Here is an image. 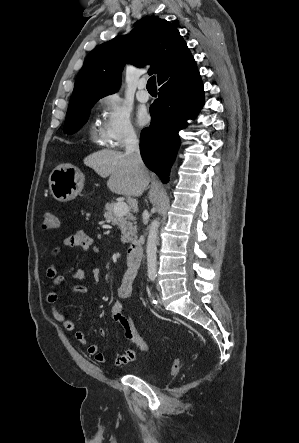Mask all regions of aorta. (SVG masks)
I'll return each instance as SVG.
<instances>
[{
	"label": "aorta",
	"instance_id": "aorta-1",
	"mask_svg": "<svg viewBox=\"0 0 299 443\" xmlns=\"http://www.w3.org/2000/svg\"><path fill=\"white\" fill-rule=\"evenodd\" d=\"M158 228L159 221L154 219L150 225L147 243H146V256H147V269L149 273H155L157 269V242H158Z\"/></svg>",
	"mask_w": 299,
	"mask_h": 443
}]
</instances>
